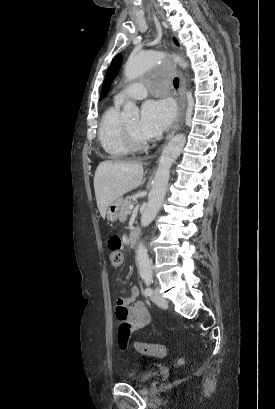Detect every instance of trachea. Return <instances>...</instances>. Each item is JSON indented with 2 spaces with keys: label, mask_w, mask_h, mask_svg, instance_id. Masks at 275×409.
Wrapping results in <instances>:
<instances>
[{
  "label": "trachea",
  "mask_w": 275,
  "mask_h": 409,
  "mask_svg": "<svg viewBox=\"0 0 275 409\" xmlns=\"http://www.w3.org/2000/svg\"><path fill=\"white\" fill-rule=\"evenodd\" d=\"M173 85H174V87L177 89V88H179V78L178 77H175L174 78V80H173Z\"/></svg>",
  "instance_id": "trachea-1"
}]
</instances>
